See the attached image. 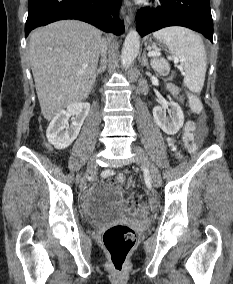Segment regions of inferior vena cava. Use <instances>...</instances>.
<instances>
[{"label": "inferior vena cava", "mask_w": 233, "mask_h": 284, "mask_svg": "<svg viewBox=\"0 0 233 284\" xmlns=\"http://www.w3.org/2000/svg\"><path fill=\"white\" fill-rule=\"evenodd\" d=\"M106 50H107V46H106V42L104 40H102V43H101V54L102 56L106 54Z\"/></svg>", "instance_id": "obj_1"}]
</instances>
